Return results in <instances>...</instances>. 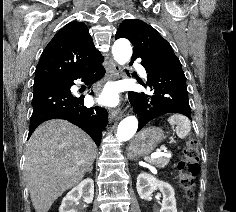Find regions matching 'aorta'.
Segmentation results:
<instances>
[{
    "label": "aorta",
    "instance_id": "762f6f07",
    "mask_svg": "<svg viewBox=\"0 0 236 212\" xmlns=\"http://www.w3.org/2000/svg\"><path fill=\"white\" fill-rule=\"evenodd\" d=\"M112 53L115 61L124 65L132 56V47L127 39H119L115 41L112 47ZM138 128V120L135 116H127L118 125L117 139L119 141H127L131 139Z\"/></svg>",
    "mask_w": 236,
    "mask_h": 212
}]
</instances>
